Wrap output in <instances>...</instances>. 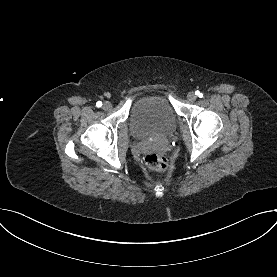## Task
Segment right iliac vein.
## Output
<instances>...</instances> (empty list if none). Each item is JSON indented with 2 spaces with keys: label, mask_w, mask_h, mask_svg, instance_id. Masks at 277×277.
<instances>
[{
  "label": "right iliac vein",
  "mask_w": 277,
  "mask_h": 277,
  "mask_svg": "<svg viewBox=\"0 0 277 277\" xmlns=\"http://www.w3.org/2000/svg\"><path fill=\"white\" fill-rule=\"evenodd\" d=\"M111 108H112V104L110 102H108V101L104 102V104H103V109L104 110L108 111Z\"/></svg>",
  "instance_id": "63e3f726"
}]
</instances>
